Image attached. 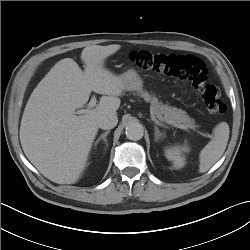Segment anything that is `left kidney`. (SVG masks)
Here are the masks:
<instances>
[{
  "mask_svg": "<svg viewBox=\"0 0 250 250\" xmlns=\"http://www.w3.org/2000/svg\"><path fill=\"white\" fill-rule=\"evenodd\" d=\"M188 150L187 146H169L165 149V156L176 168H182L185 165L184 153Z\"/></svg>",
  "mask_w": 250,
  "mask_h": 250,
  "instance_id": "left-kidney-1",
  "label": "left kidney"
}]
</instances>
